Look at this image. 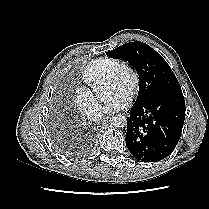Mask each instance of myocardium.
<instances>
[{"mask_svg": "<svg viewBox=\"0 0 209 209\" xmlns=\"http://www.w3.org/2000/svg\"><path fill=\"white\" fill-rule=\"evenodd\" d=\"M123 73H128L130 77V82L127 87V94L130 98H132L139 87V75L130 63L120 61L110 70L104 81L106 83L117 82L121 78Z\"/></svg>", "mask_w": 209, "mask_h": 209, "instance_id": "myocardium-1", "label": "myocardium"}]
</instances>
